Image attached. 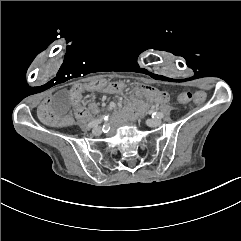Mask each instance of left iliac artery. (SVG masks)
Masks as SVG:
<instances>
[{
  "mask_svg": "<svg viewBox=\"0 0 241 241\" xmlns=\"http://www.w3.org/2000/svg\"><path fill=\"white\" fill-rule=\"evenodd\" d=\"M152 117H155V118H159V119H161V118H163V114L162 113H160V112H155V113H153V116Z\"/></svg>",
  "mask_w": 241,
  "mask_h": 241,
  "instance_id": "1",
  "label": "left iliac artery"
}]
</instances>
